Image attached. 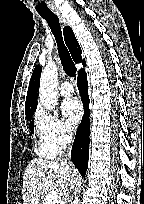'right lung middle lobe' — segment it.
<instances>
[{
    "label": "right lung middle lobe",
    "instance_id": "obj_1",
    "mask_svg": "<svg viewBox=\"0 0 144 204\" xmlns=\"http://www.w3.org/2000/svg\"><path fill=\"white\" fill-rule=\"evenodd\" d=\"M32 117H29V118H27V120L29 121L30 119H31ZM34 126H33V123L32 122H30V130L32 131V133L34 132Z\"/></svg>",
    "mask_w": 144,
    "mask_h": 204
}]
</instances>
